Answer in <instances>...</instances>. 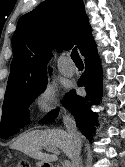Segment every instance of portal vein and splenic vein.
<instances>
[{
	"label": "portal vein and splenic vein",
	"instance_id": "obj_1",
	"mask_svg": "<svg viewBox=\"0 0 125 167\" xmlns=\"http://www.w3.org/2000/svg\"><path fill=\"white\" fill-rule=\"evenodd\" d=\"M46 150L49 151V152H52L54 154H59L58 149L55 148V147H46ZM70 166H71V163L68 160H66L62 163V167H70Z\"/></svg>",
	"mask_w": 125,
	"mask_h": 167
}]
</instances>
